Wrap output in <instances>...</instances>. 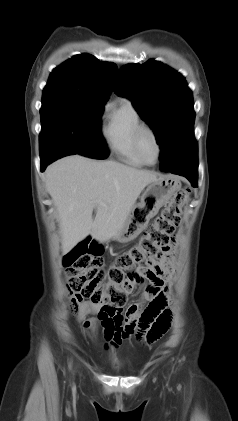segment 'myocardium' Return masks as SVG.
Listing matches in <instances>:
<instances>
[{
  "label": "myocardium",
  "instance_id": "f54148a6",
  "mask_svg": "<svg viewBox=\"0 0 238 421\" xmlns=\"http://www.w3.org/2000/svg\"><path fill=\"white\" fill-rule=\"evenodd\" d=\"M145 135H149L152 138V140H153V142L156 146V157H155V160L153 162H151L147 159V157H146V155L143 151L142 141H143V137ZM135 147H136L138 155L145 162L146 165H154V164L157 163V161L160 158L162 148H161L159 138H158L155 130L148 124H142L136 130Z\"/></svg>",
  "mask_w": 238,
  "mask_h": 421
}]
</instances>
